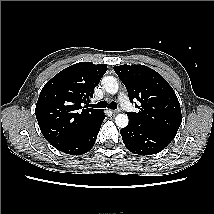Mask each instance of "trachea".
<instances>
[{"label":"trachea","instance_id":"3493384b","mask_svg":"<svg viewBox=\"0 0 214 214\" xmlns=\"http://www.w3.org/2000/svg\"><path fill=\"white\" fill-rule=\"evenodd\" d=\"M92 107L94 108H110V109H116L117 108V104L115 102H111L109 104L106 103V101H100L97 104H92Z\"/></svg>","mask_w":214,"mask_h":214}]
</instances>
